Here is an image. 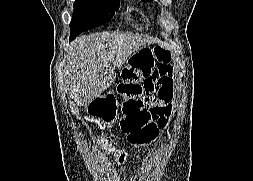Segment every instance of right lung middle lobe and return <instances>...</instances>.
Returning <instances> with one entry per match:
<instances>
[{
	"label": "right lung middle lobe",
	"instance_id": "1",
	"mask_svg": "<svg viewBox=\"0 0 253 181\" xmlns=\"http://www.w3.org/2000/svg\"><path fill=\"white\" fill-rule=\"evenodd\" d=\"M119 9V0H76L70 37L108 22Z\"/></svg>",
	"mask_w": 253,
	"mask_h": 181
}]
</instances>
